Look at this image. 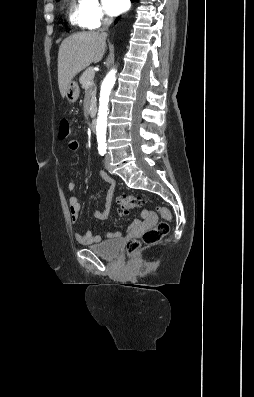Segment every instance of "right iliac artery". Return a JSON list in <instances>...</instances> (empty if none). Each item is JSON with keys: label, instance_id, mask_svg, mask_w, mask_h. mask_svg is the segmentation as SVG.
Segmentation results:
<instances>
[{"label": "right iliac artery", "instance_id": "right-iliac-artery-1", "mask_svg": "<svg viewBox=\"0 0 254 397\" xmlns=\"http://www.w3.org/2000/svg\"><path fill=\"white\" fill-rule=\"evenodd\" d=\"M105 152H106V148H99L100 155L103 156L105 154Z\"/></svg>", "mask_w": 254, "mask_h": 397}]
</instances>
